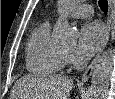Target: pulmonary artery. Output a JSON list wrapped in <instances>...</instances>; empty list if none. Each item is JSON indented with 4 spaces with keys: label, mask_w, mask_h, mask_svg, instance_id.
<instances>
[{
    "label": "pulmonary artery",
    "mask_w": 115,
    "mask_h": 99,
    "mask_svg": "<svg viewBox=\"0 0 115 99\" xmlns=\"http://www.w3.org/2000/svg\"><path fill=\"white\" fill-rule=\"evenodd\" d=\"M69 15L73 18H89L93 15V8L89 4L77 3L71 7Z\"/></svg>",
    "instance_id": "e3ab8cb5"
}]
</instances>
